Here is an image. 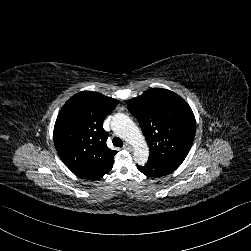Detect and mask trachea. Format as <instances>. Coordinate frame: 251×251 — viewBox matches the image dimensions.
Listing matches in <instances>:
<instances>
[{
	"instance_id": "obj_1",
	"label": "trachea",
	"mask_w": 251,
	"mask_h": 251,
	"mask_svg": "<svg viewBox=\"0 0 251 251\" xmlns=\"http://www.w3.org/2000/svg\"><path fill=\"white\" fill-rule=\"evenodd\" d=\"M123 144L124 143H123V141L120 138H118V137L113 138V145L114 146L122 147Z\"/></svg>"
}]
</instances>
